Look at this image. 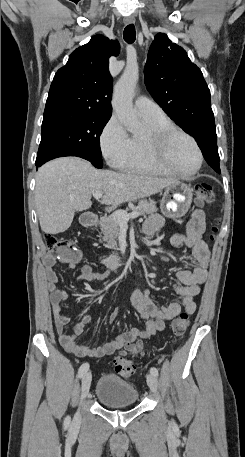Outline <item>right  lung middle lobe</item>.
I'll return each instance as SVG.
<instances>
[{
    "mask_svg": "<svg viewBox=\"0 0 245 457\" xmlns=\"http://www.w3.org/2000/svg\"><path fill=\"white\" fill-rule=\"evenodd\" d=\"M110 114L93 111L44 113L36 166L62 156H78L102 168L99 137Z\"/></svg>",
    "mask_w": 245,
    "mask_h": 457,
    "instance_id": "1",
    "label": "right lung middle lobe"
}]
</instances>
